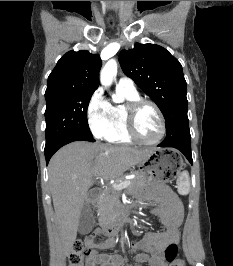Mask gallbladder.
<instances>
[{
	"instance_id": "bac80fb5",
	"label": "gallbladder",
	"mask_w": 233,
	"mask_h": 266,
	"mask_svg": "<svg viewBox=\"0 0 233 266\" xmlns=\"http://www.w3.org/2000/svg\"><path fill=\"white\" fill-rule=\"evenodd\" d=\"M95 219L90 204L85 203L80 214L78 232L81 235L88 234L94 227Z\"/></svg>"
}]
</instances>
